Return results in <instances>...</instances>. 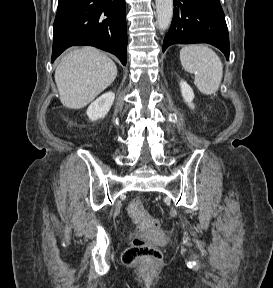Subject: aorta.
Returning <instances> with one entry per match:
<instances>
[{"mask_svg":"<svg viewBox=\"0 0 273 288\" xmlns=\"http://www.w3.org/2000/svg\"><path fill=\"white\" fill-rule=\"evenodd\" d=\"M157 24L159 29L166 30L172 20L173 15V0H155Z\"/></svg>","mask_w":273,"mask_h":288,"instance_id":"1","label":"aorta"}]
</instances>
